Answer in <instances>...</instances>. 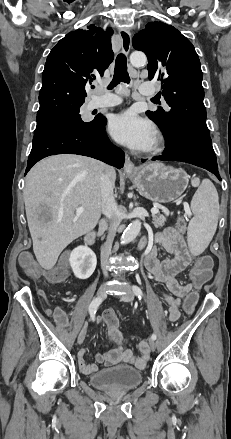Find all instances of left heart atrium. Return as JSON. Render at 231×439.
<instances>
[{
	"mask_svg": "<svg viewBox=\"0 0 231 439\" xmlns=\"http://www.w3.org/2000/svg\"><path fill=\"white\" fill-rule=\"evenodd\" d=\"M109 131L115 140L136 150L148 149L155 138L153 124L133 110L115 115L109 123Z\"/></svg>",
	"mask_w": 231,
	"mask_h": 439,
	"instance_id": "1",
	"label": "left heart atrium"
}]
</instances>
